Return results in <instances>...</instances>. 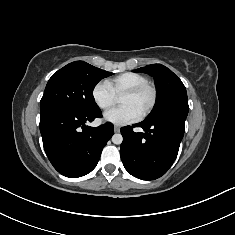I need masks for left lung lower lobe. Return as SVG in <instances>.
I'll return each mask as SVG.
<instances>
[{
  "label": "left lung lower lobe",
  "instance_id": "left-lung-lower-lobe-1",
  "mask_svg": "<svg viewBox=\"0 0 235 235\" xmlns=\"http://www.w3.org/2000/svg\"><path fill=\"white\" fill-rule=\"evenodd\" d=\"M185 120L174 115L163 116L123 127L120 155L125 169L142 180L164 175L177 157ZM133 127H141L145 132L136 133Z\"/></svg>",
  "mask_w": 235,
  "mask_h": 235
}]
</instances>
